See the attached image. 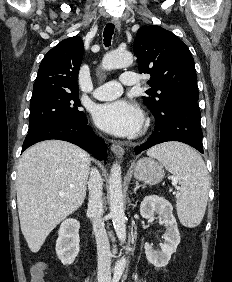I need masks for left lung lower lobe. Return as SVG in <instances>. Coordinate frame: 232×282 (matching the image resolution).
I'll return each instance as SVG.
<instances>
[{
	"mask_svg": "<svg viewBox=\"0 0 232 282\" xmlns=\"http://www.w3.org/2000/svg\"><path fill=\"white\" fill-rule=\"evenodd\" d=\"M155 129L146 143L135 148V153L159 143L179 141L203 153L200 110L197 101L179 98L159 112H153Z\"/></svg>",
	"mask_w": 232,
	"mask_h": 282,
	"instance_id": "left-lung-lower-lobe-1",
	"label": "left lung lower lobe"
}]
</instances>
